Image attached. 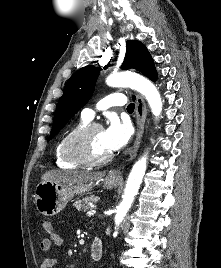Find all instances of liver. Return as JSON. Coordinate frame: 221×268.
<instances>
[{"label": "liver", "instance_id": "6515ba94", "mask_svg": "<svg viewBox=\"0 0 221 268\" xmlns=\"http://www.w3.org/2000/svg\"><path fill=\"white\" fill-rule=\"evenodd\" d=\"M103 176V172L50 170L42 175L41 180L53 183L80 184L93 183Z\"/></svg>", "mask_w": 221, "mask_h": 268}]
</instances>
